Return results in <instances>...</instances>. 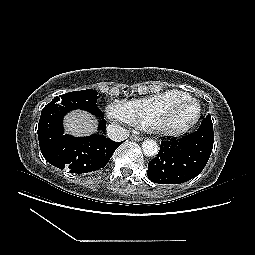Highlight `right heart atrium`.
<instances>
[{"mask_svg":"<svg viewBox=\"0 0 255 255\" xmlns=\"http://www.w3.org/2000/svg\"><path fill=\"white\" fill-rule=\"evenodd\" d=\"M106 112L112 119L125 122V107L120 101H113L107 104Z\"/></svg>","mask_w":255,"mask_h":255,"instance_id":"d8ad5b80","label":"right heart atrium"}]
</instances>
